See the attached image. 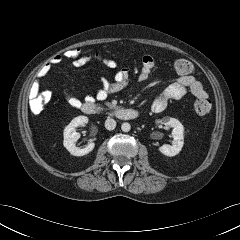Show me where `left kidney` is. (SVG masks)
Returning <instances> with one entry per match:
<instances>
[{
	"label": "left kidney",
	"mask_w": 240,
	"mask_h": 240,
	"mask_svg": "<svg viewBox=\"0 0 240 240\" xmlns=\"http://www.w3.org/2000/svg\"><path fill=\"white\" fill-rule=\"evenodd\" d=\"M158 122H161L166 126L173 127L172 135L174 139L172 145L164 144L159 147V151L169 157L177 155L181 151L184 144V127L182 123L178 119L169 117H164Z\"/></svg>",
	"instance_id": "obj_1"
}]
</instances>
